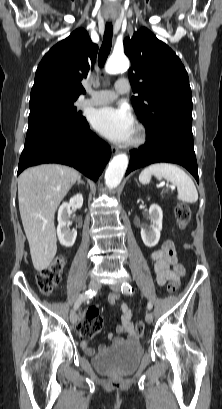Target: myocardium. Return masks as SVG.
I'll use <instances>...</instances> for the list:
<instances>
[{
	"mask_svg": "<svg viewBox=\"0 0 222 409\" xmlns=\"http://www.w3.org/2000/svg\"><path fill=\"white\" fill-rule=\"evenodd\" d=\"M146 141H147V131L143 125L138 124L135 129V134L132 140L130 141V145L132 147L137 148L145 144Z\"/></svg>",
	"mask_w": 222,
	"mask_h": 409,
	"instance_id": "myocardium-1",
	"label": "myocardium"
}]
</instances>
